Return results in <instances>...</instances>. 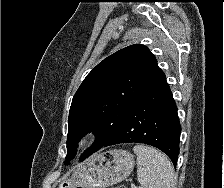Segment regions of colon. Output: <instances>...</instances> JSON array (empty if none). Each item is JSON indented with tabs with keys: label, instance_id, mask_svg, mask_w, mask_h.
Wrapping results in <instances>:
<instances>
[{
	"label": "colon",
	"instance_id": "5ec220e1",
	"mask_svg": "<svg viewBox=\"0 0 224 188\" xmlns=\"http://www.w3.org/2000/svg\"><path fill=\"white\" fill-rule=\"evenodd\" d=\"M114 188H126V187H124V186H117V187H114Z\"/></svg>",
	"mask_w": 224,
	"mask_h": 188
}]
</instances>
